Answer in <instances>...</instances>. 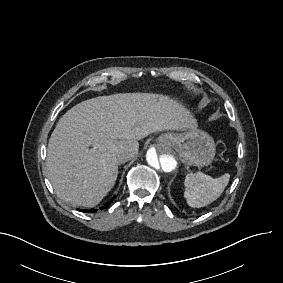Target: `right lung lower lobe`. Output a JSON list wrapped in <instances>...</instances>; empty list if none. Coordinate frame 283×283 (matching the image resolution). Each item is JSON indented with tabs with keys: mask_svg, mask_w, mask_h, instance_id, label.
Listing matches in <instances>:
<instances>
[{
	"mask_svg": "<svg viewBox=\"0 0 283 283\" xmlns=\"http://www.w3.org/2000/svg\"><path fill=\"white\" fill-rule=\"evenodd\" d=\"M114 199V197L111 199V201ZM109 204H110V202H107L102 208H100V209H105V208H107L108 206H109ZM79 211H82V212H95V211H97L96 209H91V210H79Z\"/></svg>",
	"mask_w": 283,
	"mask_h": 283,
	"instance_id": "98d812e1",
	"label": "right lung lower lobe"
}]
</instances>
